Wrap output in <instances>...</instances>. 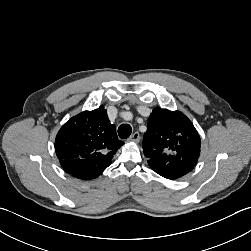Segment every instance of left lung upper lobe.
Instances as JSON below:
<instances>
[{
	"mask_svg": "<svg viewBox=\"0 0 251 251\" xmlns=\"http://www.w3.org/2000/svg\"><path fill=\"white\" fill-rule=\"evenodd\" d=\"M200 137L191 121L179 111L155 108L144 134V154L152 165L183 171L196 165Z\"/></svg>",
	"mask_w": 251,
	"mask_h": 251,
	"instance_id": "5c2ea615",
	"label": "left lung upper lobe"
}]
</instances>
